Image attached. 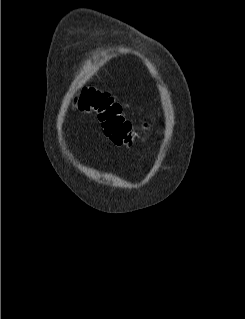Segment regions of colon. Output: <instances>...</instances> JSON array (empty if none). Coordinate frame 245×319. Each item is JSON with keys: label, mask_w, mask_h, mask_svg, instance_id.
<instances>
[{"label": "colon", "mask_w": 245, "mask_h": 319, "mask_svg": "<svg viewBox=\"0 0 245 319\" xmlns=\"http://www.w3.org/2000/svg\"><path fill=\"white\" fill-rule=\"evenodd\" d=\"M77 109L95 114L102 124L104 134L115 145L129 146L139 133L122 114L121 105L106 92L93 87L84 88L78 98ZM148 128L149 124L146 123L141 131Z\"/></svg>", "instance_id": "1"}]
</instances>
